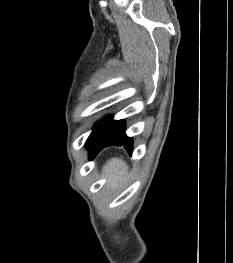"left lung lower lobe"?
Returning <instances> with one entry per match:
<instances>
[{"mask_svg": "<svg viewBox=\"0 0 233 263\" xmlns=\"http://www.w3.org/2000/svg\"><path fill=\"white\" fill-rule=\"evenodd\" d=\"M112 145L124 146L129 153H132V139L125 135L124 121H114L110 116L97 124L86 147L90 159H93L101 149Z\"/></svg>", "mask_w": 233, "mask_h": 263, "instance_id": "left-lung-lower-lobe-1", "label": "left lung lower lobe"}]
</instances>
